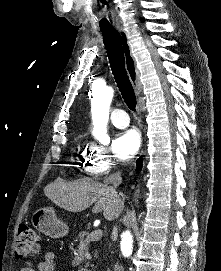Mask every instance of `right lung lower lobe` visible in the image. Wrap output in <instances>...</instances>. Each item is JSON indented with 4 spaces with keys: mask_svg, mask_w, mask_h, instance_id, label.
Masks as SVG:
<instances>
[{
    "mask_svg": "<svg viewBox=\"0 0 221 271\" xmlns=\"http://www.w3.org/2000/svg\"><path fill=\"white\" fill-rule=\"evenodd\" d=\"M141 158L137 160V167L138 169H141Z\"/></svg>",
    "mask_w": 221,
    "mask_h": 271,
    "instance_id": "obj_1",
    "label": "right lung lower lobe"
}]
</instances>
